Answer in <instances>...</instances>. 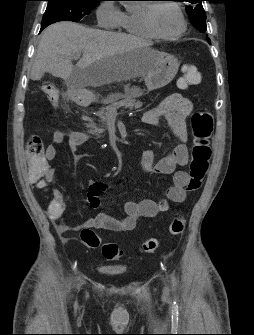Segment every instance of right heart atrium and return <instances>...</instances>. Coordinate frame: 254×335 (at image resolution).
Returning <instances> with one entry per match:
<instances>
[{
	"mask_svg": "<svg viewBox=\"0 0 254 335\" xmlns=\"http://www.w3.org/2000/svg\"><path fill=\"white\" fill-rule=\"evenodd\" d=\"M122 15L123 12L112 1H103L96 11L98 24L104 28L118 27Z\"/></svg>",
	"mask_w": 254,
	"mask_h": 335,
	"instance_id": "right-heart-atrium-1",
	"label": "right heart atrium"
}]
</instances>
